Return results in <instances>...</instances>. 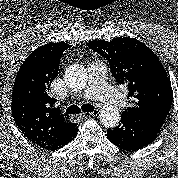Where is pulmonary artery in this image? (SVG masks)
I'll list each match as a JSON object with an SVG mask.
<instances>
[{
    "label": "pulmonary artery",
    "instance_id": "obj_1",
    "mask_svg": "<svg viewBox=\"0 0 178 178\" xmlns=\"http://www.w3.org/2000/svg\"><path fill=\"white\" fill-rule=\"evenodd\" d=\"M89 81L83 91L86 99H99L104 103L121 107L125 104L124 96L112 87L106 77V66L101 61H92L88 64Z\"/></svg>",
    "mask_w": 178,
    "mask_h": 178
}]
</instances>
